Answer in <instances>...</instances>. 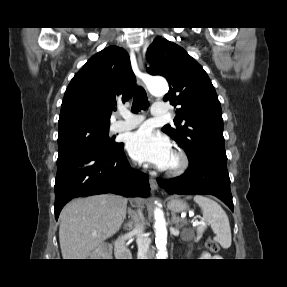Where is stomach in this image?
<instances>
[{"mask_svg":"<svg viewBox=\"0 0 287 287\" xmlns=\"http://www.w3.org/2000/svg\"><path fill=\"white\" fill-rule=\"evenodd\" d=\"M167 206L172 212H183L187 209V204L177 198L171 199Z\"/></svg>","mask_w":287,"mask_h":287,"instance_id":"0dacf381","label":"stomach"}]
</instances>
